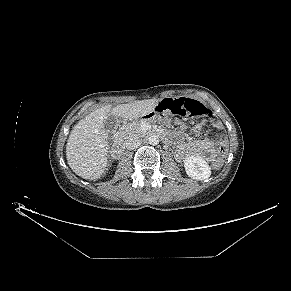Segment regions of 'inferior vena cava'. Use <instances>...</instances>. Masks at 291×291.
Here are the masks:
<instances>
[{
    "instance_id": "obj_1",
    "label": "inferior vena cava",
    "mask_w": 291,
    "mask_h": 291,
    "mask_svg": "<svg viewBox=\"0 0 291 291\" xmlns=\"http://www.w3.org/2000/svg\"><path fill=\"white\" fill-rule=\"evenodd\" d=\"M141 144L140 139L135 136H131L127 141H126V148L128 150H133L139 147Z\"/></svg>"
}]
</instances>
